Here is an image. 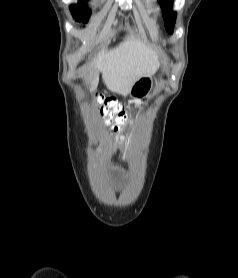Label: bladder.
Returning <instances> with one entry per match:
<instances>
[{"mask_svg":"<svg viewBox=\"0 0 238 278\" xmlns=\"http://www.w3.org/2000/svg\"><path fill=\"white\" fill-rule=\"evenodd\" d=\"M119 173H120V174H125V173H126V170H125V169H120V170H119ZM119 179H120V180H123V179H124V176H123V175H120V176H119Z\"/></svg>","mask_w":238,"mask_h":278,"instance_id":"bladder-1","label":"bladder"}]
</instances>
